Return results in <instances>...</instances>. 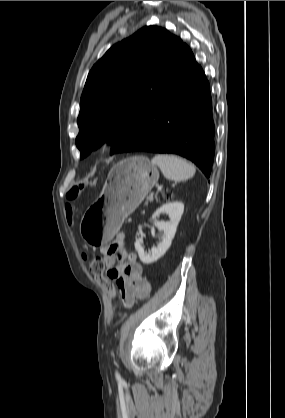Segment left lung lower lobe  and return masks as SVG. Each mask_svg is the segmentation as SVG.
I'll return each instance as SVG.
<instances>
[{"label":"left lung lower lobe","instance_id":"left-lung-lower-lobe-1","mask_svg":"<svg viewBox=\"0 0 285 418\" xmlns=\"http://www.w3.org/2000/svg\"><path fill=\"white\" fill-rule=\"evenodd\" d=\"M214 135L209 81L185 44L142 131L125 152L178 154L194 162L209 177L215 153Z\"/></svg>","mask_w":285,"mask_h":418}]
</instances>
